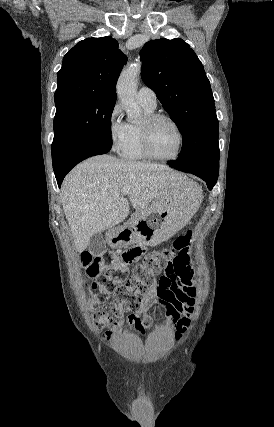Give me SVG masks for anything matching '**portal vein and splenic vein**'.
<instances>
[{
  "mask_svg": "<svg viewBox=\"0 0 274 427\" xmlns=\"http://www.w3.org/2000/svg\"><path fill=\"white\" fill-rule=\"evenodd\" d=\"M122 194L123 196H127V194H129V188H124V190H122Z\"/></svg>",
  "mask_w": 274,
  "mask_h": 427,
  "instance_id": "portal-vein-and-splenic-vein-1",
  "label": "portal vein and splenic vein"
}]
</instances>
